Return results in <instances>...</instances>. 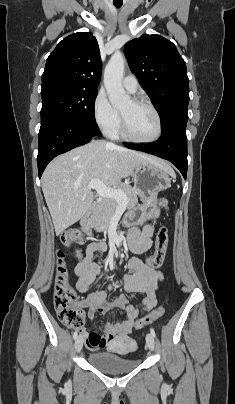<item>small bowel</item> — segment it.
Returning <instances> with one entry per match:
<instances>
[{
    "mask_svg": "<svg viewBox=\"0 0 235 404\" xmlns=\"http://www.w3.org/2000/svg\"><path fill=\"white\" fill-rule=\"evenodd\" d=\"M153 227L146 224L142 229L133 228L128 234V243L131 250L135 253H143L152 245ZM106 244L102 241H95L87 246L84 258L79 261L75 267L77 277L76 288L80 293H88L85 300L79 302V305L86 311L89 318H93L97 312L106 313L111 309H121L126 313V319L119 323H109L104 326L106 336L97 332H87L84 328L81 332L84 334L85 345L90 350L108 349L112 342L118 346L129 343L128 334L131 332L135 320L143 313L153 309L156 304V291L164 280V275L160 270L147 267L140 259L131 258L127 267L132 272L121 278L122 287L127 292L142 293L145 295L142 305L137 308L128 303L127 297L121 294L113 301L107 299L106 290L90 292V287L96 279L102 274L100 267L91 262L95 253L103 252ZM108 289H112L109 286ZM107 338V344H102L101 340Z\"/></svg>",
    "mask_w": 235,
    "mask_h": 404,
    "instance_id": "1",
    "label": "small bowel"
}]
</instances>
